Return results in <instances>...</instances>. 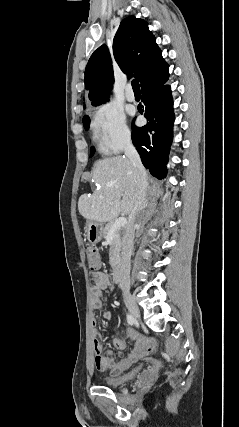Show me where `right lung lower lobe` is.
Segmentation results:
<instances>
[{
	"label": "right lung lower lobe",
	"instance_id": "obj_1",
	"mask_svg": "<svg viewBox=\"0 0 239 427\" xmlns=\"http://www.w3.org/2000/svg\"><path fill=\"white\" fill-rule=\"evenodd\" d=\"M169 78L168 71L145 83L141 100L145 108H139L149 123L143 127L132 125V141L140 154L143 165L150 173L162 179L166 176V164L173 137V101L171 88L164 85Z\"/></svg>",
	"mask_w": 239,
	"mask_h": 427
}]
</instances>
